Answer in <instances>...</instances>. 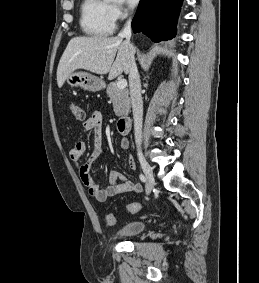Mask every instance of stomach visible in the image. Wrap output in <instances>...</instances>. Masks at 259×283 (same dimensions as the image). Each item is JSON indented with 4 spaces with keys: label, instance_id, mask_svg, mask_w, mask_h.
Returning a JSON list of instances; mask_svg holds the SVG:
<instances>
[{
    "label": "stomach",
    "instance_id": "obj_1",
    "mask_svg": "<svg viewBox=\"0 0 259 283\" xmlns=\"http://www.w3.org/2000/svg\"><path fill=\"white\" fill-rule=\"evenodd\" d=\"M66 82L75 87H81L87 91L97 92L105 87L102 79L83 71L72 72Z\"/></svg>",
    "mask_w": 259,
    "mask_h": 283
}]
</instances>
